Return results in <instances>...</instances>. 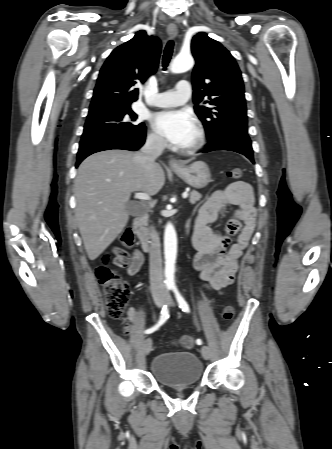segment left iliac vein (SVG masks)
Masks as SVG:
<instances>
[{
  "label": "left iliac vein",
  "mask_w": 332,
  "mask_h": 449,
  "mask_svg": "<svg viewBox=\"0 0 332 449\" xmlns=\"http://www.w3.org/2000/svg\"><path fill=\"white\" fill-rule=\"evenodd\" d=\"M167 299H168L169 305L173 306L174 302L169 295H167ZM201 353H202V356L204 359L208 360L210 358L211 352H210V348L208 346H202Z\"/></svg>",
  "instance_id": "1"
}]
</instances>
